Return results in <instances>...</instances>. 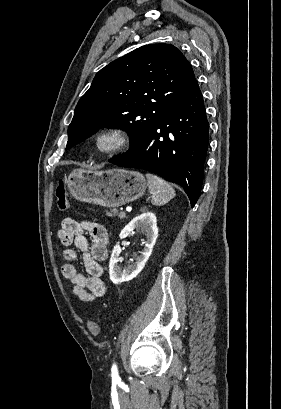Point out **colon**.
<instances>
[{
	"label": "colon",
	"instance_id": "5ec220e1",
	"mask_svg": "<svg viewBox=\"0 0 281 409\" xmlns=\"http://www.w3.org/2000/svg\"><path fill=\"white\" fill-rule=\"evenodd\" d=\"M57 195V207L60 211L66 212L70 208V200L63 188V186L58 185L56 188ZM87 327L90 328L92 334L97 335L101 331V324L99 321L94 320L91 323L87 324Z\"/></svg>",
	"mask_w": 281,
	"mask_h": 409
}]
</instances>
